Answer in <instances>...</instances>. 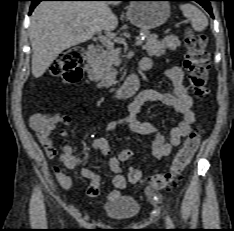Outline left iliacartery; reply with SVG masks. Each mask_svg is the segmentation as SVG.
Segmentation results:
<instances>
[{"label":"left iliac artery","instance_id":"44dca946","mask_svg":"<svg viewBox=\"0 0 234 231\" xmlns=\"http://www.w3.org/2000/svg\"><path fill=\"white\" fill-rule=\"evenodd\" d=\"M166 224H167V227L170 229L174 227V224L169 216L166 217Z\"/></svg>","mask_w":234,"mask_h":231}]
</instances>
